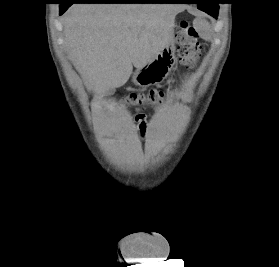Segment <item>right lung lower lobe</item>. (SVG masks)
Segmentation results:
<instances>
[{"instance_id": "98d812e1", "label": "right lung lower lobe", "mask_w": 279, "mask_h": 267, "mask_svg": "<svg viewBox=\"0 0 279 267\" xmlns=\"http://www.w3.org/2000/svg\"><path fill=\"white\" fill-rule=\"evenodd\" d=\"M165 0H134V1H124V0H66L62 2L60 6V15L63 14L68 7L73 3H164Z\"/></svg>"}]
</instances>
